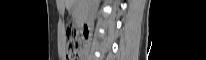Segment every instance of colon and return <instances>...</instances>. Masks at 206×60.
<instances>
[{
  "mask_svg": "<svg viewBox=\"0 0 206 60\" xmlns=\"http://www.w3.org/2000/svg\"><path fill=\"white\" fill-rule=\"evenodd\" d=\"M66 39L68 60H78L82 55L87 35H81L76 25L69 24L66 27Z\"/></svg>",
  "mask_w": 206,
  "mask_h": 60,
  "instance_id": "obj_1",
  "label": "colon"
}]
</instances>
